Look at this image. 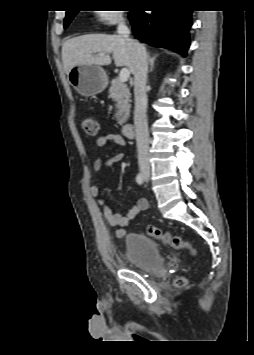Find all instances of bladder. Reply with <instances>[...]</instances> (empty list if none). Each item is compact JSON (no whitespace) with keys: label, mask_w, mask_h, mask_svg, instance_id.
Wrapping results in <instances>:
<instances>
[{"label":"bladder","mask_w":254,"mask_h":355,"mask_svg":"<svg viewBox=\"0 0 254 355\" xmlns=\"http://www.w3.org/2000/svg\"><path fill=\"white\" fill-rule=\"evenodd\" d=\"M125 242V258L129 264L148 272L163 269V253L155 240L141 233H128Z\"/></svg>","instance_id":"1"}]
</instances>
